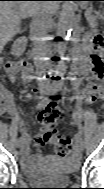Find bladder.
<instances>
[{"mask_svg":"<svg viewBox=\"0 0 104 189\" xmlns=\"http://www.w3.org/2000/svg\"><path fill=\"white\" fill-rule=\"evenodd\" d=\"M77 169V163L52 156L33 168H23L21 172L34 184L63 186L69 184Z\"/></svg>","mask_w":104,"mask_h":189,"instance_id":"1","label":"bladder"}]
</instances>
